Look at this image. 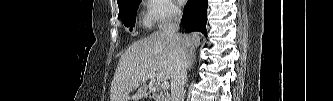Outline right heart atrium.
<instances>
[{"label": "right heart atrium", "instance_id": "d8ad5b80", "mask_svg": "<svg viewBox=\"0 0 333 101\" xmlns=\"http://www.w3.org/2000/svg\"><path fill=\"white\" fill-rule=\"evenodd\" d=\"M179 16V10L171 0L146 1L145 24L147 27H162Z\"/></svg>", "mask_w": 333, "mask_h": 101}]
</instances>
